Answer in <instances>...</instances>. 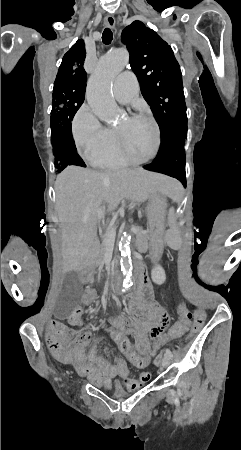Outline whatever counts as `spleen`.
Returning a JSON list of instances; mask_svg holds the SVG:
<instances>
[{
    "label": "spleen",
    "instance_id": "obj_1",
    "mask_svg": "<svg viewBox=\"0 0 241 450\" xmlns=\"http://www.w3.org/2000/svg\"><path fill=\"white\" fill-rule=\"evenodd\" d=\"M170 227L167 229V243L169 244V248L170 250H173L174 252H177L179 250V248L181 247V239L179 238L182 233V230L180 228H177V215L175 213H172L170 215Z\"/></svg>",
    "mask_w": 241,
    "mask_h": 450
}]
</instances>
